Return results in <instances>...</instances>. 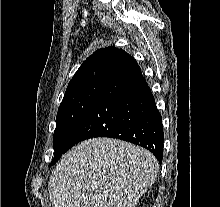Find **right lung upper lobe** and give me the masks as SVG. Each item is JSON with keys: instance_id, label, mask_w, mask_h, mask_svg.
<instances>
[{"instance_id": "obj_1", "label": "right lung upper lobe", "mask_w": 220, "mask_h": 207, "mask_svg": "<svg viewBox=\"0 0 220 207\" xmlns=\"http://www.w3.org/2000/svg\"><path fill=\"white\" fill-rule=\"evenodd\" d=\"M135 63L136 60L122 49L113 46L98 49L79 67L69 82L66 92L93 81L106 80Z\"/></svg>"}]
</instances>
